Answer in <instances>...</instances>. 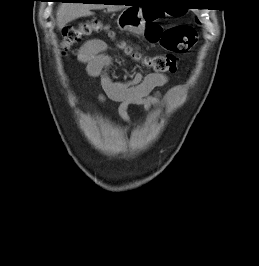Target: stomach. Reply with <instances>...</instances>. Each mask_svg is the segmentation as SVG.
<instances>
[{
	"instance_id": "1",
	"label": "stomach",
	"mask_w": 259,
	"mask_h": 266,
	"mask_svg": "<svg viewBox=\"0 0 259 266\" xmlns=\"http://www.w3.org/2000/svg\"><path fill=\"white\" fill-rule=\"evenodd\" d=\"M118 27L123 31L132 33H142L144 31V21L140 11L127 8L125 9L117 20Z\"/></svg>"
}]
</instances>
